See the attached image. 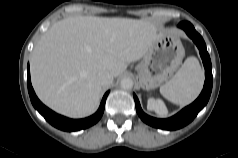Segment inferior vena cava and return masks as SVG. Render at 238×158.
I'll list each match as a JSON object with an SVG mask.
<instances>
[{"mask_svg": "<svg viewBox=\"0 0 238 158\" xmlns=\"http://www.w3.org/2000/svg\"><path fill=\"white\" fill-rule=\"evenodd\" d=\"M97 80L100 83V85L108 87L113 82V75L106 70H102L98 72Z\"/></svg>", "mask_w": 238, "mask_h": 158, "instance_id": "inferior-vena-cava-1", "label": "inferior vena cava"}]
</instances>
